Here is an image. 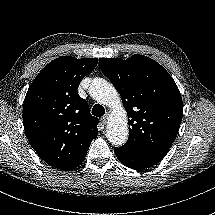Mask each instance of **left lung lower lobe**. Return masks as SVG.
Listing matches in <instances>:
<instances>
[{"mask_svg": "<svg viewBox=\"0 0 215 215\" xmlns=\"http://www.w3.org/2000/svg\"><path fill=\"white\" fill-rule=\"evenodd\" d=\"M167 152L168 150H136L125 146L115 148V154L120 162L135 170H144L156 165Z\"/></svg>", "mask_w": 215, "mask_h": 215, "instance_id": "left-lung-lower-lobe-1", "label": "left lung lower lobe"}]
</instances>
